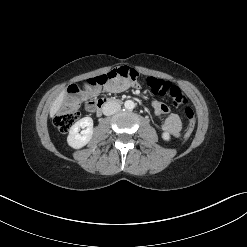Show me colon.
Here are the masks:
<instances>
[{"label":"colon","instance_id":"obj_1","mask_svg":"<svg viewBox=\"0 0 247 247\" xmlns=\"http://www.w3.org/2000/svg\"><path fill=\"white\" fill-rule=\"evenodd\" d=\"M116 77H130L132 80H135L137 78V73L127 67H120L110 71L99 79L96 76H89L83 87L77 85L72 86L70 90L71 100L64 103L62 111L54 119L57 129L62 133H66L79 119L81 114L77 109L75 98L82 92L83 89H96L99 86V83L113 80ZM147 84L154 94L160 96L169 95L174 105L184 106V115L188 121V124L183 139H188L192 135L195 127V113L193 109L187 105V97L178 87L173 86L169 82L163 80L150 77L147 79Z\"/></svg>","mask_w":247,"mask_h":247}]
</instances>
